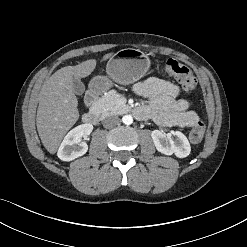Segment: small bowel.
<instances>
[{
  "instance_id": "small-bowel-1",
  "label": "small bowel",
  "mask_w": 247,
  "mask_h": 247,
  "mask_svg": "<svg viewBox=\"0 0 247 247\" xmlns=\"http://www.w3.org/2000/svg\"><path fill=\"white\" fill-rule=\"evenodd\" d=\"M134 92L149 99V104L137 111L139 118L151 117L163 126L192 127L199 120V116L190 110V102L179 98V87L169 81L150 77L133 86Z\"/></svg>"
}]
</instances>
